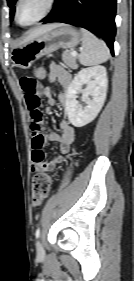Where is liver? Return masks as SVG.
Listing matches in <instances>:
<instances>
[{
    "label": "liver",
    "instance_id": "6515ba94",
    "mask_svg": "<svg viewBox=\"0 0 134 281\" xmlns=\"http://www.w3.org/2000/svg\"><path fill=\"white\" fill-rule=\"evenodd\" d=\"M55 27H57V24L44 25V26L38 27L36 29H33L29 33V35L22 41L21 44L29 42V41L33 40L34 38L38 37L39 35H42L45 32H47Z\"/></svg>",
    "mask_w": 134,
    "mask_h": 281
}]
</instances>
